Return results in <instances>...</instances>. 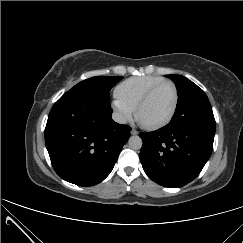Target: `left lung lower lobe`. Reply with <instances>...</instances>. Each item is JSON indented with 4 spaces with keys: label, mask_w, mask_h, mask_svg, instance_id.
<instances>
[{
    "label": "left lung lower lobe",
    "mask_w": 243,
    "mask_h": 243,
    "mask_svg": "<svg viewBox=\"0 0 243 243\" xmlns=\"http://www.w3.org/2000/svg\"><path fill=\"white\" fill-rule=\"evenodd\" d=\"M215 130L169 123L152 132H141L140 161L156 183L181 187L196 178L209 159Z\"/></svg>",
    "instance_id": "left-lung-lower-lobe-1"
}]
</instances>
